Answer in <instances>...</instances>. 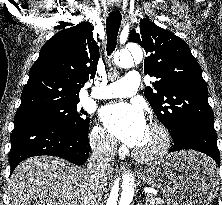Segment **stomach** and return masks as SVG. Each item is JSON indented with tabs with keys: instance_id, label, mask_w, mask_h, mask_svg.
Segmentation results:
<instances>
[{
	"instance_id": "obj_1",
	"label": "stomach",
	"mask_w": 222,
	"mask_h": 205,
	"mask_svg": "<svg viewBox=\"0 0 222 205\" xmlns=\"http://www.w3.org/2000/svg\"><path fill=\"white\" fill-rule=\"evenodd\" d=\"M142 179L161 191L167 205H208L218 189L215 165L193 151L168 155L150 166Z\"/></svg>"
}]
</instances>
